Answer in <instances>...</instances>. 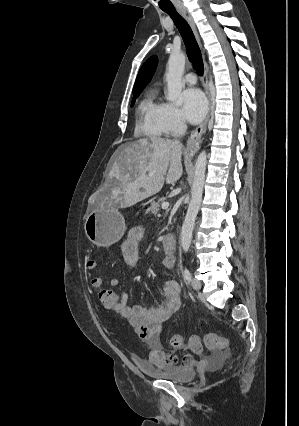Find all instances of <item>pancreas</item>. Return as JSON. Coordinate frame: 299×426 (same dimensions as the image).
<instances>
[{
	"instance_id": "1",
	"label": "pancreas",
	"mask_w": 299,
	"mask_h": 426,
	"mask_svg": "<svg viewBox=\"0 0 299 426\" xmlns=\"http://www.w3.org/2000/svg\"><path fill=\"white\" fill-rule=\"evenodd\" d=\"M166 201V198H160L157 202H152L151 206L148 208V211L153 214H157L160 211V207L163 202Z\"/></svg>"
}]
</instances>
